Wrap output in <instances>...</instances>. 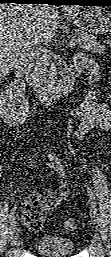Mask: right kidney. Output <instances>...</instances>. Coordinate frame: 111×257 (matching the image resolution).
<instances>
[{
    "instance_id": "obj_1",
    "label": "right kidney",
    "mask_w": 111,
    "mask_h": 257,
    "mask_svg": "<svg viewBox=\"0 0 111 257\" xmlns=\"http://www.w3.org/2000/svg\"><path fill=\"white\" fill-rule=\"evenodd\" d=\"M24 90L25 84L20 79L11 81L9 85H5L1 89L2 115L6 114V111H8V113L10 112L12 115L18 107H20V109H28V99L23 92ZM7 116H5V118H7Z\"/></svg>"
}]
</instances>
